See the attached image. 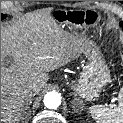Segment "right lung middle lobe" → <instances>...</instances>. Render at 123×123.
Masks as SVG:
<instances>
[{
  "mask_svg": "<svg viewBox=\"0 0 123 123\" xmlns=\"http://www.w3.org/2000/svg\"><path fill=\"white\" fill-rule=\"evenodd\" d=\"M4 18H6L5 14H1V20H3Z\"/></svg>",
  "mask_w": 123,
  "mask_h": 123,
  "instance_id": "obj_1",
  "label": "right lung middle lobe"
}]
</instances>
